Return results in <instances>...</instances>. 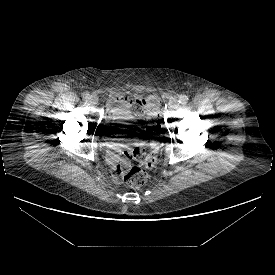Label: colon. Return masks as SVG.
<instances>
[{
    "instance_id": "1",
    "label": "colon",
    "mask_w": 275,
    "mask_h": 275,
    "mask_svg": "<svg viewBox=\"0 0 275 275\" xmlns=\"http://www.w3.org/2000/svg\"><path fill=\"white\" fill-rule=\"evenodd\" d=\"M159 99L156 96L140 97L135 100L134 108L142 114L145 120H148L149 131L158 130L159 123L157 121L159 113ZM158 148L154 145L147 153L144 145H139L124 153L125 157H135L143 159L140 165L129 168L123 178L125 183L132 188H140L147 181L145 169L152 168L157 160ZM121 166V164H120Z\"/></svg>"
}]
</instances>
